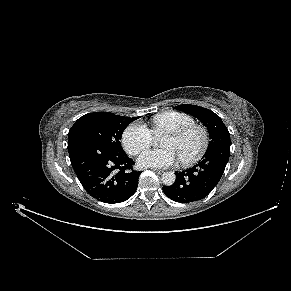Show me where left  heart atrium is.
Here are the masks:
<instances>
[{"label": "left heart atrium", "mask_w": 291, "mask_h": 291, "mask_svg": "<svg viewBox=\"0 0 291 291\" xmlns=\"http://www.w3.org/2000/svg\"><path fill=\"white\" fill-rule=\"evenodd\" d=\"M178 159L172 148L147 150L142 153L138 162L143 167L163 168L172 165Z\"/></svg>", "instance_id": "left-heart-atrium-1"}]
</instances>
